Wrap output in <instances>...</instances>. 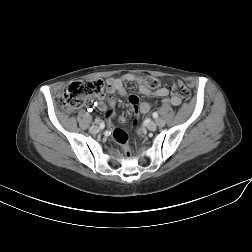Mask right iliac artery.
Here are the masks:
<instances>
[{"label":"right iliac artery","mask_w":252,"mask_h":252,"mask_svg":"<svg viewBox=\"0 0 252 252\" xmlns=\"http://www.w3.org/2000/svg\"><path fill=\"white\" fill-rule=\"evenodd\" d=\"M105 129V123L104 122H101L100 123V130H104Z\"/></svg>","instance_id":"82829eb1"}]
</instances>
